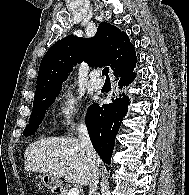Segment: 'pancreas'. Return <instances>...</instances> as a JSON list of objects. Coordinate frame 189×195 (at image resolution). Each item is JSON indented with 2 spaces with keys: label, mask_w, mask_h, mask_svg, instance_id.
I'll return each mask as SVG.
<instances>
[{
  "label": "pancreas",
  "mask_w": 189,
  "mask_h": 195,
  "mask_svg": "<svg viewBox=\"0 0 189 195\" xmlns=\"http://www.w3.org/2000/svg\"><path fill=\"white\" fill-rule=\"evenodd\" d=\"M68 190L67 189H63L60 191V194L59 195H68Z\"/></svg>",
  "instance_id": "pancreas-1"
}]
</instances>
